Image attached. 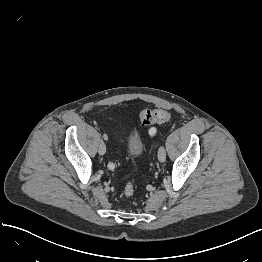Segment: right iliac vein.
I'll return each mask as SVG.
<instances>
[{
  "label": "right iliac vein",
  "mask_w": 262,
  "mask_h": 262,
  "mask_svg": "<svg viewBox=\"0 0 262 262\" xmlns=\"http://www.w3.org/2000/svg\"><path fill=\"white\" fill-rule=\"evenodd\" d=\"M98 153H99L100 155H103V154L106 153V145L104 144V142H101V143L99 144Z\"/></svg>",
  "instance_id": "1"
}]
</instances>
